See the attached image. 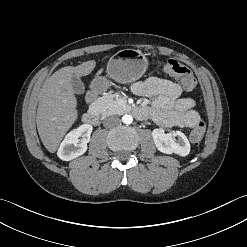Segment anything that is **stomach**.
I'll list each match as a JSON object with an SVG mask.
<instances>
[{
	"label": "stomach",
	"mask_w": 247,
	"mask_h": 247,
	"mask_svg": "<svg viewBox=\"0 0 247 247\" xmlns=\"http://www.w3.org/2000/svg\"><path fill=\"white\" fill-rule=\"evenodd\" d=\"M148 60L141 51L124 49L112 56L107 64L108 76L122 84L138 80L146 71ZM110 86L105 77H97L91 83L94 91H105Z\"/></svg>",
	"instance_id": "1"
}]
</instances>
